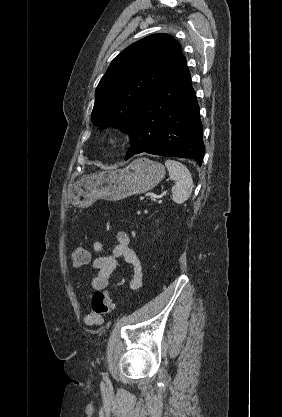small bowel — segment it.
Wrapping results in <instances>:
<instances>
[{"instance_id":"1","label":"small bowel","mask_w":282,"mask_h":417,"mask_svg":"<svg viewBox=\"0 0 282 417\" xmlns=\"http://www.w3.org/2000/svg\"><path fill=\"white\" fill-rule=\"evenodd\" d=\"M117 244L112 251L108 254H101L103 250V244L100 241L93 242V249L96 253H99L94 259H90V266L96 271V274L92 277L91 286L95 291L104 290L109 278L115 270L118 260L120 258L132 267V277L129 283L131 290H138L143 283V267L140 258L136 252L130 247L129 235L119 230L116 232ZM84 322L88 326H99L103 323V316L97 315L94 312H89L84 316Z\"/></svg>"}]
</instances>
